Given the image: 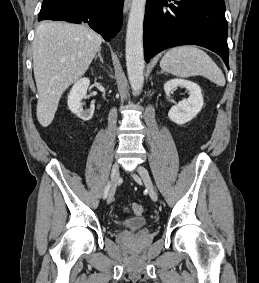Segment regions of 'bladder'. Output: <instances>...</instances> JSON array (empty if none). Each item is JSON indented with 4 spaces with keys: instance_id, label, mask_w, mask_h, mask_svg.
Returning <instances> with one entry per match:
<instances>
[{
    "instance_id": "1",
    "label": "bladder",
    "mask_w": 259,
    "mask_h": 283,
    "mask_svg": "<svg viewBox=\"0 0 259 283\" xmlns=\"http://www.w3.org/2000/svg\"><path fill=\"white\" fill-rule=\"evenodd\" d=\"M119 227L124 230H138L148 225V219L145 217H131L118 223Z\"/></svg>"
}]
</instances>
